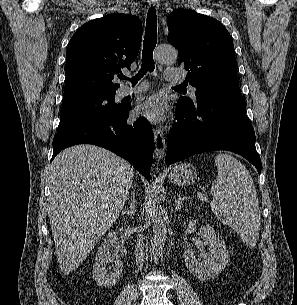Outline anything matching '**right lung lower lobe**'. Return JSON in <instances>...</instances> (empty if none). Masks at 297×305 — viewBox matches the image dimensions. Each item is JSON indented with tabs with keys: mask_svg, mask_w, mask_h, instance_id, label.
<instances>
[{
	"mask_svg": "<svg viewBox=\"0 0 297 305\" xmlns=\"http://www.w3.org/2000/svg\"><path fill=\"white\" fill-rule=\"evenodd\" d=\"M131 105H124L115 114L85 118L58 131L53 139V160L67 147L94 144L106 148L129 161L145 178L150 179L153 160V133L150 123L140 117L127 124Z\"/></svg>",
	"mask_w": 297,
	"mask_h": 305,
	"instance_id": "right-lung-lower-lobe-1",
	"label": "right lung lower lobe"
}]
</instances>
